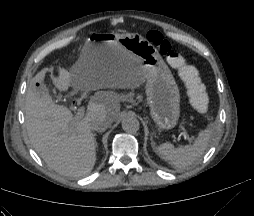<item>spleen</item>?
<instances>
[{
    "label": "spleen",
    "mask_w": 254,
    "mask_h": 216,
    "mask_svg": "<svg viewBox=\"0 0 254 216\" xmlns=\"http://www.w3.org/2000/svg\"><path fill=\"white\" fill-rule=\"evenodd\" d=\"M211 136L212 129H205L199 132L198 137L192 144L175 148L171 143H164L156 149V153L175 169H185L204 154Z\"/></svg>",
    "instance_id": "spleen-1"
}]
</instances>
